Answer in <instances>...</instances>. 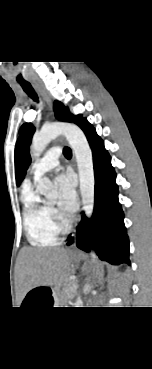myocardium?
Listing matches in <instances>:
<instances>
[{
	"instance_id": "1",
	"label": "myocardium",
	"mask_w": 152,
	"mask_h": 369,
	"mask_svg": "<svg viewBox=\"0 0 152 369\" xmlns=\"http://www.w3.org/2000/svg\"><path fill=\"white\" fill-rule=\"evenodd\" d=\"M52 210H54L53 208H51ZM59 219V226L64 229V230H67L70 228V222L64 218H60L58 217Z\"/></svg>"
}]
</instances>
